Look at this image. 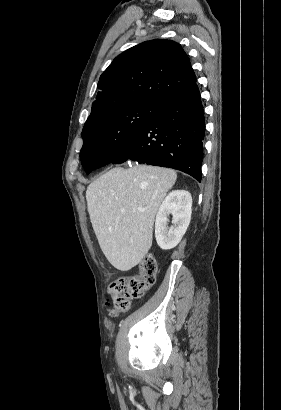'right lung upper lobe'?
<instances>
[{"label": "right lung upper lobe", "instance_id": "obj_1", "mask_svg": "<svg viewBox=\"0 0 281 410\" xmlns=\"http://www.w3.org/2000/svg\"><path fill=\"white\" fill-rule=\"evenodd\" d=\"M196 87L190 60L178 43L161 39L143 42L117 56L102 73L88 119L112 107H158Z\"/></svg>", "mask_w": 281, "mask_h": 410}]
</instances>
